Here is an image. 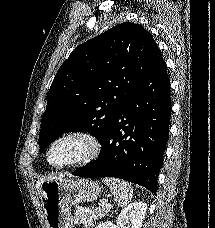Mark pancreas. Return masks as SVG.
<instances>
[{
  "label": "pancreas",
  "mask_w": 215,
  "mask_h": 228,
  "mask_svg": "<svg viewBox=\"0 0 215 228\" xmlns=\"http://www.w3.org/2000/svg\"><path fill=\"white\" fill-rule=\"evenodd\" d=\"M106 214H108L106 208H90L88 212H78V210H76L73 222L74 224H87V226H92L94 220H101Z\"/></svg>",
  "instance_id": "pancreas-1"
}]
</instances>
